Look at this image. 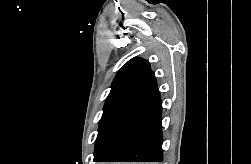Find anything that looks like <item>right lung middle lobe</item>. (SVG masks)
Returning a JSON list of instances; mask_svg holds the SVG:
<instances>
[{
	"instance_id": "obj_1",
	"label": "right lung middle lobe",
	"mask_w": 251,
	"mask_h": 164,
	"mask_svg": "<svg viewBox=\"0 0 251 164\" xmlns=\"http://www.w3.org/2000/svg\"><path fill=\"white\" fill-rule=\"evenodd\" d=\"M142 92L138 90H120L110 92L103 108V115L99 122L95 151L104 141L112 125L120 115L133 103H135Z\"/></svg>"
}]
</instances>
